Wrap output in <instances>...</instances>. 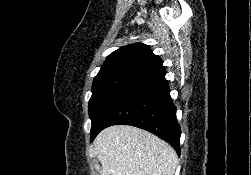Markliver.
I'll list each match as a JSON object with an SVG mask.
<instances>
[{
    "label": "liver",
    "instance_id": "obj_1",
    "mask_svg": "<svg viewBox=\"0 0 251 175\" xmlns=\"http://www.w3.org/2000/svg\"><path fill=\"white\" fill-rule=\"evenodd\" d=\"M95 145L101 175H174L178 161L169 143L132 125L106 127Z\"/></svg>",
    "mask_w": 251,
    "mask_h": 175
}]
</instances>
